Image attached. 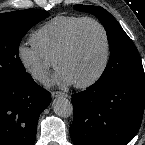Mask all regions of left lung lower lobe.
<instances>
[{
    "label": "left lung lower lobe",
    "mask_w": 145,
    "mask_h": 145,
    "mask_svg": "<svg viewBox=\"0 0 145 145\" xmlns=\"http://www.w3.org/2000/svg\"><path fill=\"white\" fill-rule=\"evenodd\" d=\"M75 145H126L137 134L145 105V76L90 86L72 95Z\"/></svg>",
    "instance_id": "1"
}]
</instances>
